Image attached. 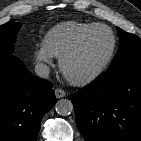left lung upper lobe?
<instances>
[{"label": "left lung upper lobe", "mask_w": 141, "mask_h": 141, "mask_svg": "<svg viewBox=\"0 0 141 141\" xmlns=\"http://www.w3.org/2000/svg\"><path fill=\"white\" fill-rule=\"evenodd\" d=\"M117 31L120 38V45L108 70L118 68L131 62L141 61V39L118 27Z\"/></svg>", "instance_id": "left-lung-upper-lobe-1"}]
</instances>
